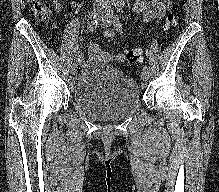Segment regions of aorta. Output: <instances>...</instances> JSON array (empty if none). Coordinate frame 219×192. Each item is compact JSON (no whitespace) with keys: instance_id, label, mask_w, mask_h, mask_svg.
<instances>
[{"instance_id":"aorta-1","label":"aorta","mask_w":219,"mask_h":192,"mask_svg":"<svg viewBox=\"0 0 219 192\" xmlns=\"http://www.w3.org/2000/svg\"><path fill=\"white\" fill-rule=\"evenodd\" d=\"M121 0H111L112 4H117L119 3Z\"/></svg>"}]
</instances>
